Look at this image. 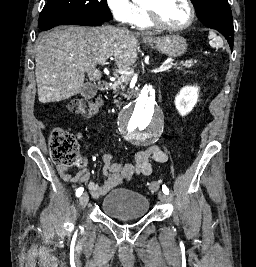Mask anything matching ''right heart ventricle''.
<instances>
[{
  "mask_svg": "<svg viewBox=\"0 0 256 267\" xmlns=\"http://www.w3.org/2000/svg\"><path fill=\"white\" fill-rule=\"evenodd\" d=\"M138 5H139L140 7H143V6L145 5V1H143V0H139V1H138Z\"/></svg>",
  "mask_w": 256,
  "mask_h": 267,
  "instance_id": "right-heart-ventricle-1",
  "label": "right heart ventricle"
}]
</instances>
